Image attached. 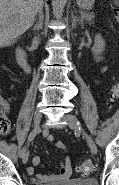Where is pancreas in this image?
<instances>
[{
    "instance_id": "cf45deb5",
    "label": "pancreas",
    "mask_w": 119,
    "mask_h": 185,
    "mask_svg": "<svg viewBox=\"0 0 119 185\" xmlns=\"http://www.w3.org/2000/svg\"><path fill=\"white\" fill-rule=\"evenodd\" d=\"M83 18H85L87 21H91L95 18V15L93 13H86Z\"/></svg>"
}]
</instances>
